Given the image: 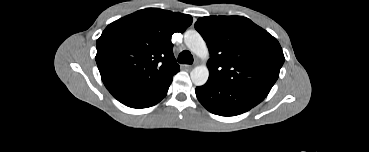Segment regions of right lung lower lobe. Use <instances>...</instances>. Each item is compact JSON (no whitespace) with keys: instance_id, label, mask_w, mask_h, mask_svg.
<instances>
[{"instance_id":"98d812e1","label":"right lung lower lobe","mask_w":369,"mask_h":152,"mask_svg":"<svg viewBox=\"0 0 369 152\" xmlns=\"http://www.w3.org/2000/svg\"><path fill=\"white\" fill-rule=\"evenodd\" d=\"M172 78L167 80L160 88L147 92L133 99L122 101L124 105L132 108H147L160 102L167 94Z\"/></svg>"}]
</instances>
